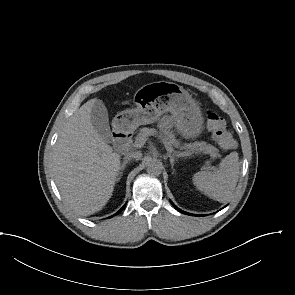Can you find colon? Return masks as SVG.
I'll list each match as a JSON object with an SVG mask.
<instances>
[{
    "instance_id": "colon-1",
    "label": "colon",
    "mask_w": 295,
    "mask_h": 295,
    "mask_svg": "<svg viewBox=\"0 0 295 295\" xmlns=\"http://www.w3.org/2000/svg\"><path fill=\"white\" fill-rule=\"evenodd\" d=\"M206 123L214 140L222 149L229 150L235 147V140L226 128L224 119L214 110H207Z\"/></svg>"
}]
</instances>
